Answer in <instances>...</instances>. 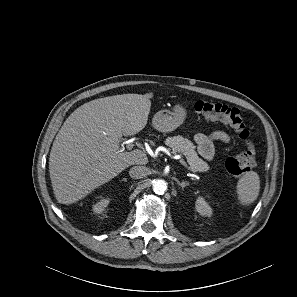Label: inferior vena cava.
Segmentation results:
<instances>
[{
  "instance_id": "inferior-vena-cava-1",
  "label": "inferior vena cava",
  "mask_w": 297,
  "mask_h": 297,
  "mask_svg": "<svg viewBox=\"0 0 297 297\" xmlns=\"http://www.w3.org/2000/svg\"><path fill=\"white\" fill-rule=\"evenodd\" d=\"M149 173V169L145 166H133L129 170V175L133 179H141L147 176Z\"/></svg>"
}]
</instances>
